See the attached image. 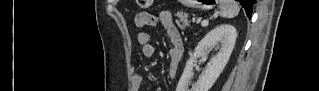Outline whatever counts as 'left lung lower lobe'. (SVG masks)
<instances>
[{
    "label": "left lung lower lobe",
    "instance_id": "1",
    "mask_svg": "<svg viewBox=\"0 0 319 91\" xmlns=\"http://www.w3.org/2000/svg\"><path fill=\"white\" fill-rule=\"evenodd\" d=\"M246 11L247 17L250 19L252 14V7L255 0H238Z\"/></svg>",
    "mask_w": 319,
    "mask_h": 91
}]
</instances>
